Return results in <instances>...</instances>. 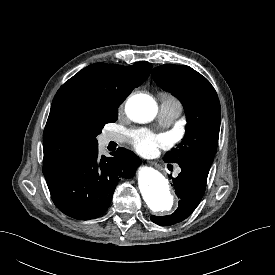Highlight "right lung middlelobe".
<instances>
[{
	"label": "right lung middle lobe",
	"instance_id": "dd1d6c3e",
	"mask_svg": "<svg viewBox=\"0 0 275 275\" xmlns=\"http://www.w3.org/2000/svg\"><path fill=\"white\" fill-rule=\"evenodd\" d=\"M118 118V111L109 114H101L89 123L88 128L91 132L90 145L95 148L98 146L96 136L101 133L102 128L106 123L115 122ZM76 127L80 126L79 123L75 124Z\"/></svg>",
	"mask_w": 275,
	"mask_h": 275
}]
</instances>
